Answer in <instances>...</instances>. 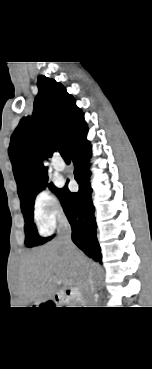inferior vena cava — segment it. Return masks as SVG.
Listing matches in <instances>:
<instances>
[{"label": "inferior vena cava", "instance_id": "602c4592", "mask_svg": "<svg viewBox=\"0 0 152 369\" xmlns=\"http://www.w3.org/2000/svg\"><path fill=\"white\" fill-rule=\"evenodd\" d=\"M58 240L64 245L65 250L74 257L80 266L81 278L79 289L81 292L84 307H94V283L93 274L89 265L77 254V248L71 240V226L65 217L59 219Z\"/></svg>", "mask_w": 152, "mask_h": 369}]
</instances>
